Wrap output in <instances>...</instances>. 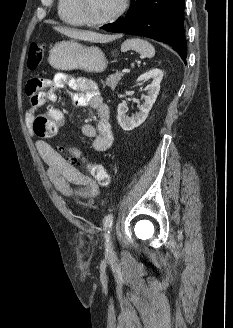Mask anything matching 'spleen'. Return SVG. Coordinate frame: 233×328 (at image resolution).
<instances>
[{
    "mask_svg": "<svg viewBox=\"0 0 233 328\" xmlns=\"http://www.w3.org/2000/svg\"><path fill=\"white\" fill-rule=\"evenodd\" d=\"M136 51L142 58H152L155 55L154 47L146 40L140 38L127 39L121 45V51Z\"/></svg>",
    "mask_w": 233,
    "mask_h": 328,
    "instance_id": "obj_1",
    "label": "spleen"
}]
</instances>
